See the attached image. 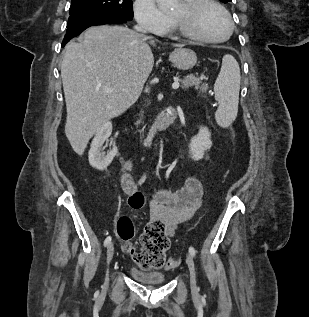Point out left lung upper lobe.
Returning <instances> with one entry per match:
<instances>
[{
  "instance_id": "obj_1",
  "label": "left lung upper lobe",
  "mask_w": 309,
  "mask_h": 317,
  "mask_svg": "<svg viewBox=\"0 0 309 317\" xmlns=\"http://www.w3.org/2000/svg\"><path fill=\"white\" fill-rule=\"evenodd\" d=\"M220 1H222V2H224V3H227V2H230V1H232V0H220Z\"/></svg>"
}]
</instances>
